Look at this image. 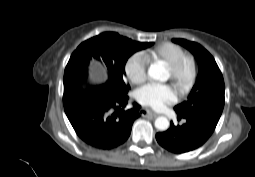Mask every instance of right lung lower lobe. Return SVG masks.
<instances>
[{"label":"right lung lower lobe","mask_w":255,"mask_h":177,"mask_svg":"<svg viewBox=\"0 0 255 177\" xmlns=\"http://www.w3.org/2000/svg\"><path fill=\"white\" fill-rule=\"evenodd\" d=\"M126 94L118 96L102 86L64 84L65 113L76 134L88 145L109 150L123 144L140 116V105L124 110Z\"/></svg>","instance_id":"obj_1"}]
</instances>
